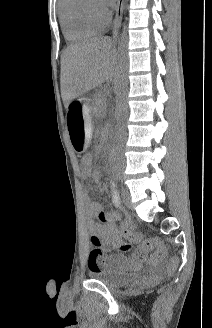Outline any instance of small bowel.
I'll return each instance as SVG.
<instances>
[{
	"label": "small bowel",
	"instance_id": "1",
	"mask_svg": "<svg viewBox=\"0 0 212 328\" xmlns=\"http://www.w3.org/2000/svg\"><path fill=\"white\" fill-rule=\"evenodd\" d=\"M81 175L84 178H90L94 183H100L101 174L99 172H93L92 170H81ZM111 200L115 207H120V197L117 188L113 183L110 186ZM84 203L87 215V227L88 230L100 237L103 245L106 248H110L115 244L120 243L124 238H128L131 232V224L126 221L118 228L116 223L121 219L120 214L113 211L104 210L103 206L92 200L89 196L88 188L84 190ZM148 250L138 249L131 257H125L124 255H114L111 258L110 267L118 271H133L139 269L146 259V253ZM89 269L102 270L106 266L99 262H95L90 265Z\"/></svg>",
	"mask_w": 212,
	"mask_h": 328
}]
</instances>
